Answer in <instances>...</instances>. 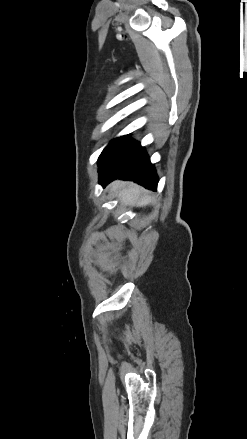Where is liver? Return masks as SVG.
<instances>
[{
    "label": "liver",
    "mask_w": 247,
    "mask_h": 439,
    "mask_svg": "<svg viewBox=\"0 0 247 439\" xmlns=\"http://www.w3.org/2000/svg\"><path fill=\"white\" fill-rule=\"evenodd\" d=\"M109 189L117 194L123 205L143 207L152 200V197L147 193H143L142 188L137 185H124L120 181H115L109 186Z\"/></svg>",
    "instance_id": "liver-1"
}]
</instances>
